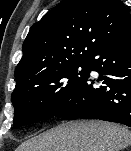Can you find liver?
I'll list each match as a JSON object with an SVG mask.
<instances>
[{"mask_svg": "<svg viewBox=\"0 0 131 151\" xmlns=\"http://www.w3.org/2000/svg\"><path fill=\"white\" fill-rule=\"evenodd\" d=\"M131 144V132L101 121H71L20 145L16 151H122Z\"/></svg>", "mask_w": 131, "mask_h": 151, "instance_id": "1", "label": "liver"}]
</instances>
